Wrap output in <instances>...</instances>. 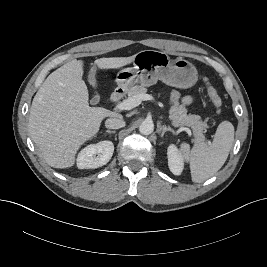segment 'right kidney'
<instances>
[{
    "mask_svg": "<svg viewBox=\"0 0 267 267\" xmlns=\"http://www.w3.org/2000/svg\"><path fill=\"white\" fill-rule=\"evenodd\" d=\"M114 152L111 141H100L90 144L78 154L77 167L79 169H95L109 162Z\"/></svg>",
    "mask_w": 267,
    "mask_h": 267,
    "instance_id": "1",
    "label": "right kidney"
}]
</instances>
